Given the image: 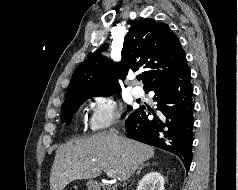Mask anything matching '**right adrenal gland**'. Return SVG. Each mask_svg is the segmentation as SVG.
<instances>
[{"label":"right adrenal gland","instance_id":"obj_1","mask_svg":"<svg viewBox=\"0 0 238 190\" xmlns=\"http://www.w3.org/2000/svg\"><path fill=\"white\" fill-rule=\"evenodd\" d=\"M148 166H149L148 163L140 165V166L137 168L136 175H139V174L141 173V170H142L144 167H148Z\"/></svg>","mask_w":238,"mask_h":190}]
</instances>
